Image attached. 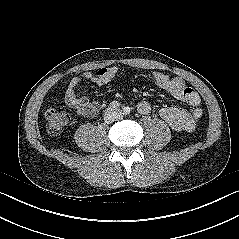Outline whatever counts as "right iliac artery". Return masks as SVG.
Here are the masks:
<instances>
[{
  "instance_id": "right-iliac-artery-1",
  "label": "right iliac artery",
  "mask_w": 239,
  "mask_h": 239,
  "mask_svg": "<svg viewBox=\"0 0 239 239\" xmlns=\"http://www.w3.org/2000/svg\"><path fill=\"white\" fill-rule=\"evenodd\" d=\"M119 106H120V104L117 101H112L110 103V108L117 109V108H119Z\"/></svg>"
}]
</instances>
